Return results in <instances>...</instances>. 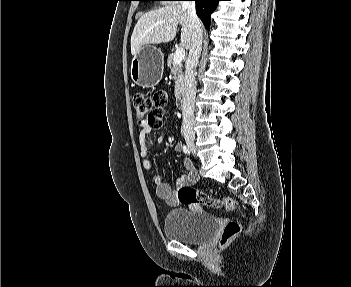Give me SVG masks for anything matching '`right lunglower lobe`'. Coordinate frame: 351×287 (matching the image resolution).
Wrapping results in <instances>:
<instances>
[{"mask_svg":"<svg viewBox=\"0 0 351 287\" xmlns=\"http://www.w3.org/2000/svg\"><path fill=\"white\" fill-rule=\"evenodd\" d=\"M196 2V13L203 21L205 27L210 26V15L215 10L220 0H194Z\"/></svg>","mask_w":351,"mask_h":287,"instance_id":"1","label":"right lung lower lobe"}]
</instances>
